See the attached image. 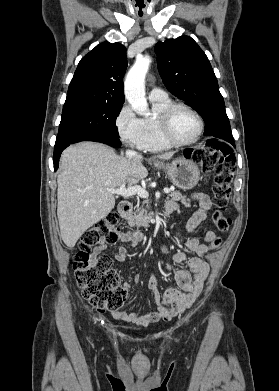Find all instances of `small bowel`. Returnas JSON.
<instances>
[{
  "label": "small bowel",
  "mask_w": 279,
  "mask_h": 391,
  "mask_svg": "<svg viewBox=\"0 0 279 391\" xmlns=\"http://www.w3.org/2000/svg\"><path fill=\"white\" fill-rule=\"evenodd\" d=\"M193 197L199 204V210L188 220V231H193L206 219L207 213L212 206L209 196L204 193H196ZM165 208L173 212L177 209V204L173 201H168ZM215 237L216 234L213 231L209 230L205 233V241L207 243H210ZM119 240L124 243H130L131 246L136 245V239L131 232L120 233ZM106 248L107 246L105 244L97 246L94 249L93 254H101ZM187 249L189 252L196 254V256L188 258L187 254L183 251H178L173 256V262L177 266L186 262L189 269V271L183 270L182 268H177L175 270V280L179 289L170 288L161 295L157 278L153 272L150 273L148 287L154 295L155 304L157 306L156 311L140 314L137 312L127 313L124 310H118L111 312L112 317L116 320L139 326H149L159 321H169L191 307L201 294L204 281L209 273V265L204 256L210 248L206 243H200L196 238H191L187 242ZM161 251L164 254L167 253V249L164 246L161 247ZM126 255V248L120 246L118 251L114 254V258L117 261H124ZM166 267L170 269L168 263H166ZM135 281H139V276H135ZM124 288H129L127 282L124 283Z\"/></svg>",
  "instance_id": "small-bowel-1"
}]
</instances>
